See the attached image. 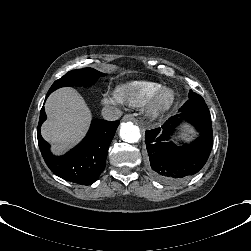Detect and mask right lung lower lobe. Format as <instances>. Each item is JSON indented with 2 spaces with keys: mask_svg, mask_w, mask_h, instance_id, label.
<instances>
[{
  "mask_svg": "<svg viewBox=\"0 0 251 251\" xmlns=\"http://www.w3.org/2000/svg\"><path fill=\"white\" fill-rule=\"evenodd\" d=\"M45 120L43 106L37 138L41 154L49 169L57 176L73 183L81 185L94 183L105 168L108 147L115 135L119 120L94 119L82 142L63 156L53 155L50 152V145L42 138L40 127Z\"/></svg>",
  "mask_w": 251,
  "mask_h": 251,
  "instance_id": "1",
  "label": "right lung lower lobe"
}]
</instances>
